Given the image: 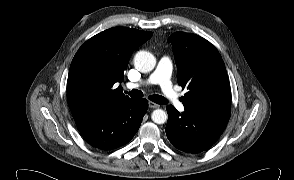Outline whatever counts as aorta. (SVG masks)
<instances>
[{"label":"aorta","instance_id":"obj_1","mask_svg":"<svg viewBox=\"0 0 294 180\" xmlns=\"http://www.w3.org/2000/svg\"><path fill=\"white\" fill-rule=\"evenodd\" d=\"M135 67L143 72L147 73L154 69L156 65V59L154 55L148 51H139L134 56ZM152 121L156 124H164L167 121V113L162 109H156L151 114Z\"/></svg>","mask_w":294,"mask_h":180}]
</instances>
